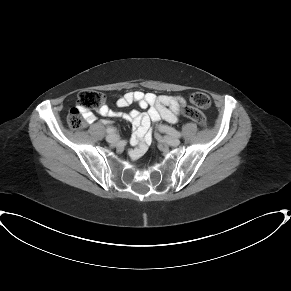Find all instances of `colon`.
<instances>
[{"label":"colon","mask_w":291,"mask_h":291,"mask_svg":"<svg viewBox=\"0 0 291 291\" xmlns=\"http://www.w3.org/2000/svg\"><path fill=\"white\" fill-rule=\"evenodd\" d=\"M105 99L102 92L93 89L82 90L78 94L77 107L72 109L67 116V123L73 130H80L85 125V119L82 115L84 109H95L101 106ZM193 105L200 109H206L210 106L211 101L209 96L204 92H194L191 95ZM185 116L194 120L200 126H205L206 118L197 109L185 108L183 110Z\"/></svg>","instance_id":"1"}]
</instances>
